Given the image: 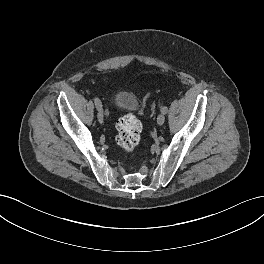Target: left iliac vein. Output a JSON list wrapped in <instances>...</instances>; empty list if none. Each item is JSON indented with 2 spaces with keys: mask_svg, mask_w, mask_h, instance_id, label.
Instances as JSON below:
<instances>
[{
  "mask_svg": "<svg viewBox=\"0 0 264 264\" xmlns=\"http://www.w3.org/2000/svg\"><path fill=\"white\" fill-rule=\"evenodd\" d=\"M164 122H165V116L163 113H161L157 117V123H158V125H163Z\"/></svg>",
  "mask_w": 264,
  "mask_h": 264,
  "instance_id": "4c4485c4",
  "label": "left iliac vein"
}]
</instances>
